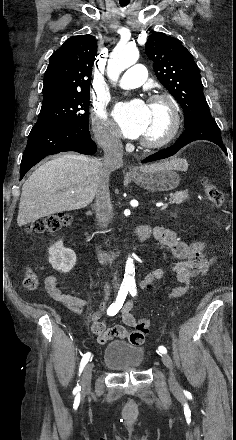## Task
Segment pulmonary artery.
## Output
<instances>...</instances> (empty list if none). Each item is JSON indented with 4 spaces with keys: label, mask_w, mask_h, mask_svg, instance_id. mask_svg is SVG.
<instances>
[{
    "label": "pulmonary artery",
    "mask_w": 236,
    "mask_h": 440,
    "mask_svg": "<svg viewBox=\"0 0 236 440\" xmlns=\"http://www.w3.org/2000/svg\"><path fill=\"white\" fill-rule=\"evenodd\" d=\"M146 76L147 71L143 65H133L123 74L119 86L123 90L135 89L144 83Z\"/></svg>",
    "instance_id": "e3ab8cb5"
}]
</instances>
